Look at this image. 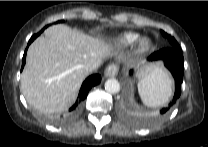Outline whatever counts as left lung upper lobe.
I'll list each match as a JSON object with an SVG mask.
<instances>
[{"label": "left lung upper lobe", "instance_id": "5c2ea615", "mask_svg": "<svg viewBox=\"0 0 208 147\" xmlns=\"http://www.w3.org/2000/svg\"><path fill=\"white\" fill-rule=\"evenodd\" d=\"M162 35H163L164 37H166V38L169 39L170 47H173V48H176V49L181 50V48H180L178 42L175 40L174 37H172L171 35L165 33L164 31H162Z\"/></svg>", "mask_w": 208, "mask_h": 147}]
</instances>
